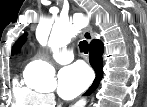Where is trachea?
Here are the masks:
<instances>
[{"label": "trachea", "mask_w": 147, "mask_h": 107, "mask_svg": "<svg viewBox=\"0 0 147 107\" xmlns=\"http://www.w3.org/2000/svg\"><path fill=\"white\" fill-rule=\"evenodd\" d=\"M79 48L81 51H83L85 54H87L88 50H89L88 42L86 40L81 41L79 43Z\"/></svg>", "instance_id": "trachea-1"}]
</instances>
